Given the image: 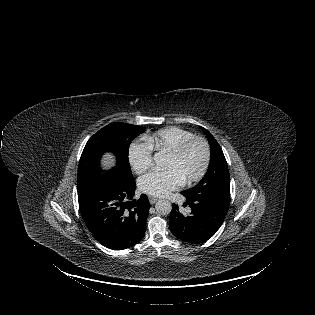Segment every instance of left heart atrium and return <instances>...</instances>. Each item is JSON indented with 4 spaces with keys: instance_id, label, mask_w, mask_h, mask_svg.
<instances>
[{
    "instance_id": "left-heart-atrium-1",
    "label": "left heart atrium",
    "mask_w": 315,
    "mask_h": 315,
    "mask_svg": "<svg viewBox=\"0 0 315 315\" xmlns=\"http://www.w3.org/2000/svg\"><path fill=\"white\" fill-rule=\"evenodd\" d=\"M186 178L175 168L153 169L138 181L142 193L154 197H163L182 186Z\"/></svg>"
}]
</instances>
